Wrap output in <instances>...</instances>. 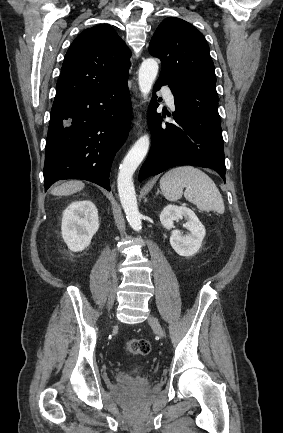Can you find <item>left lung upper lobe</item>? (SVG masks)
Listing matches in <instances>:
<instances>
[{
  "label": "left lung upper lobe",
  "mask_w": 283,
  "mask_h": 433,
  "mask_svg": "<svg viewBox=\"0 0 283 433\" xmlns=\"http://www.w3.org/2000/svg\"><path fill=\"white\" fill-rule=\"evenodd\" d=\"M149 52L162 62L159 78L180 90L181 108L220 121L214 64L199 30L180 18L168 17L156 29Z\"/></svg>",
  "instance_id": "left-lung-upper-lobe-1"
}]
</instances>
